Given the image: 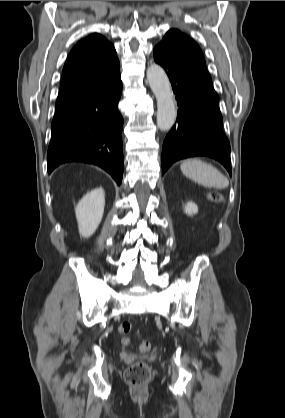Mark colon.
Returning a JSON list of instances; mask_svg holds the SVG:
<instances>
[{
	"label": "colon",
	"instance_id": "colon-1",
	"mask_svg": "<svg viewBox=\"0 0 285 418\" xmlns=\"http://www.w3.org/2000/svg\"><path fill=\"white\" fill-rule=\"evenodd\" d=\"M212 197L220 200L221 196L218 193H212ZM132 330V324L129 321H123L118 326V332L120 335H127ZM123 344L129 343L128 337L122 338ZM150 349V343L147 340H143L139 343V350L141 352H147ZM151 368L150 366L143 362L138 361L128 367L124 372L125 381L131 386H138L147 383L151 377Z\"/></svg>",
	"mask_w": 285,
	"mask_h": 418
}]
</instances>
